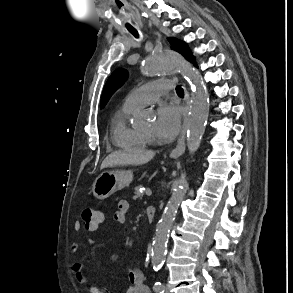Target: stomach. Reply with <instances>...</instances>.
I'll return each mask as SVG.
<instances>
[{"mask_svg":"<svg viewBox=\"0 0 293 293\" xmlns=\"http://www.w3.org/2000/svg\"><path fill=\"white\" fill-rule=\"evenodd\" d=\"M133 180V174L128 170L106 171L101 173L92 185V193L95 198L104 200L115 192L129 186Z\"/></svg>","mask_w":293,"mask_h":293,"instance_id":"obj_1","label":"stomach"}]
</instances>
